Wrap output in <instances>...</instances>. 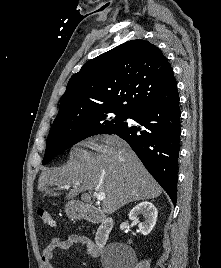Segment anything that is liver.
Wrapping results in <instances>:
<instances>
[{
    "label": "liver",
    "instance_id": "liver-1",
    "mask_svg": "<svg viewBox=\"0 0 221 268\" xmlns=\"http://www.w3.org/2000/svg\"><path fill=\"white\" fill-rule=\"evenodd\" d=\"M81 144L96 151L74 147L67 164L61 168L45 169L38 181V190L45 195L59 196L52 187L72 188L65 198L73 199L85 191L105 193L102 209L112 214L124 205L161 195L162 188L148 173L125 141L117 136L104 135Z\"/></svg>",
    "mask_w": 221,
    "mask_h": 268
}]
</instances>
